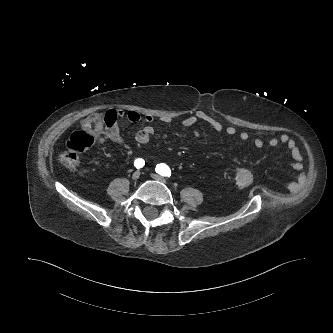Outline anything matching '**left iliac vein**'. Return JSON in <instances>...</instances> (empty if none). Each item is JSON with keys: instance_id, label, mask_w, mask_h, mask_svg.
Instances as JSON below:
<instances>
[{"instance_id": "obj_1", "label": "left iliac vein", "mask_w": 333, "mask_h": 333, "mask_svg": "<svg viewBox=\"0 0 333 333\" xmlns=\"http://www.w3.org/2000/svg\"><path fill=\"white\" fill-rule=\"evenodd\" d=\"M151 177L156 181L167 184V180L158 174H151Z\"/></svg>"}]
</instances>
